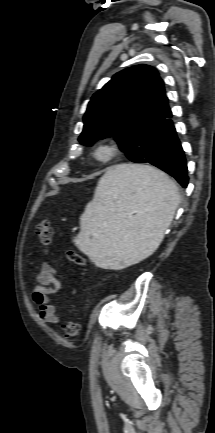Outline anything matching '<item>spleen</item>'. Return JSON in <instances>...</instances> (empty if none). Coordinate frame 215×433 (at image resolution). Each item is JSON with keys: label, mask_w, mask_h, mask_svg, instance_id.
I'll return each instance as SVG.
<instances>
[{"label": "spleen", "mask_w": 215, "mask_h": 433, "mask_svg": "<svg viewBox=\"0 0 215 433\" xmlns=\"http://www.w3.org/2000/svg\"><path fill=\"white\" fill-rule=\"evenodd\" d=\"M179 201L176 184L162 171L113 166L100 178L73 242L101 268L136 264L158 248Z\"/></svg>", "instance_id": "1"}]
</instances>
